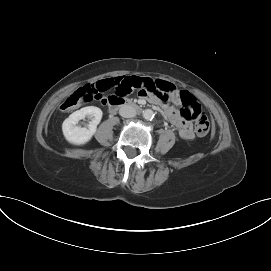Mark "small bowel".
<instances>
[{
    "mask_svg": "<svg viewBox=\"0 0 271 271\" xmlns=\"http://www.w3.org/2000/svg\"><path fill=\"white\" fill-rule=\"evenodd\" d=\"M99 94L97 99H103L100 91L114 87L116 100L122 101L131 91H138L139 98H146L151 105H161L170 122L178 129L183 139H192L194 132L190 123L183 119L180 112L171 104H179V91L173 83L158 79L156 76H118L99 80L87 85ZM161 86L164 89H159Z\"/></svg>",
    "mask_w": 271,
    "mask_h": 271,
    "instance_id": "c3829d8e",
    "label": "small bowel"
}]
</instances>
